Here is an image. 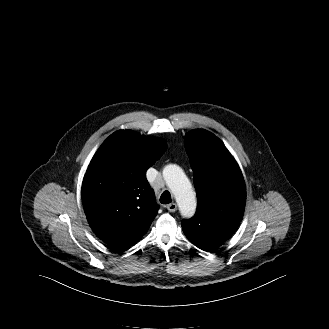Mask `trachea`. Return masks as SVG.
<instances>
[{
	"label": "trachea",
	"instance_id": "obj_1",
	"mask_svg": "<svg viewBox=\"0 0 329 329\" xmlns=\"http://www.w3.org/2000/svg\"><path fill=\"white\" fill-rule=\"evenodd\" d=\"M172 199H171V194L169 191H164L160 197V202L162 204H169L171 203Z\"/></svg>",
	"mask_w": 329,
	"mask_h": 329
}]
</instances>
